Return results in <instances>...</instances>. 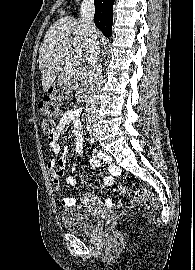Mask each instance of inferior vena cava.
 <instances>
[{
	"mask_svg": "<svg viewBox=\"0 0 195 270\" xmlns=\"http://www.w3.org/2000/svg\"><path fill=\"white\" fill-rule=\"evenodd\" d=\"M94 0H83L80 15L81 21L88 33L87 46L89 64V96L86 104V120L90 131H97L96 116L98 113L99 93L102 83V65L99 57L100 47L96 29L93 25Z\"/></svg>",
	"mask_w": 195,
	"mask_h": 270,
	"instance_id": "1",
	"label": "inferior vena cava"
}]
</instances>
